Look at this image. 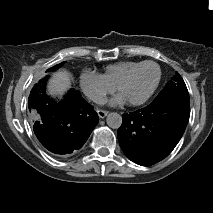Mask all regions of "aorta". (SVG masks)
<instances>
[{
    "label": "aorta",
    "instance_id": "762f6f07",
    "mask_svg": "<svg viewBox=\"0 0 213 213\" xmlns=\"http://www.w3.org/2000/svg\"><path fill=\"white\" fill-rule=\"evenodd\" d=\"M107 125L112 129H118L122 125V116L117 112H111L106 117Z\"/></svg>",
    "mask_w": 213,
    "mask_h": 213
}]
</instances>
